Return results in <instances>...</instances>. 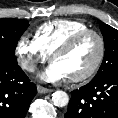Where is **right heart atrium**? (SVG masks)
I'll return each mask as SVG.
<instances>
[{"label":"right heart atrium","mask_w":118,"mask_h":118,"mask_svg":"<svg viewBox=\"0 0 118 118\" xmlns=\"http://www.w3.org/2000/svg\"><path fill=\"white\" fill-rule=\"evenodd\" d=\"M15 54L22 68L29 72L35 71L39 64L44 63L49 58L35 37L27 35L19 38Z\"/></svg>","instance_id":"1"}]
</instances>
